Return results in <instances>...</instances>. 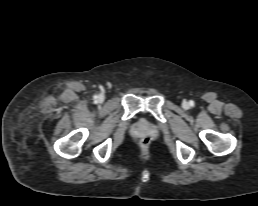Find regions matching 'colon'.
<instances>
[{"label": "colon", "instance_id": "colon-1", "mask_svg": "<svg viewBox=\"0 0 258 206\" xmlns=\"http://www.w3.org/2000/svg\"><path fill=\"white\" fill-rule=\"evenodd\" d=\"M149 143H150V140L147 137H145L141 140V146L144 148L148 147Z\"/></svg>", "mask_w": 258, "mask_h": 206}]
</instances>
